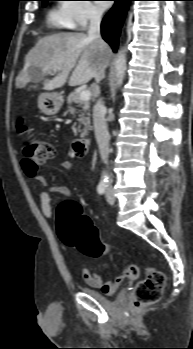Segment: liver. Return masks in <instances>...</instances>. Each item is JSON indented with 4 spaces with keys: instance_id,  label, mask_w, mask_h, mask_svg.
<instances>
[{
    "instance_id": "obj_1",
    "label": "liver",
    "mask_w": 193,
    "mask_h": 349,
    "mask_svg": "<svg viewBox=\"0 0 193 349\" xmlns=\"http://www.w3.org/2000/svg\"><path fill=\"white\" fill-rule=\"evenodd\" d=\"M111 49L104 41L89 38L85 33H58L43 37L29 51L25 65L16 79L17 87L31 81L30 68L40 69L42 76L60 71L52 79H44L47 91L62 87L66 81L70 86L99 81L110 62ZM71 73V76L69 77Z\"/></svg>"
}]
</instances>
